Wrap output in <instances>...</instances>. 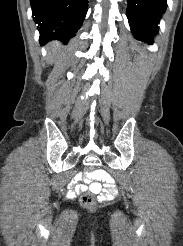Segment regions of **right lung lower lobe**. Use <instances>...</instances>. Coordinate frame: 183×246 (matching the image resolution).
Instances as JSON below:
<instances>
[{
	"instance_id": "right-lung-lower-lobe-1",
	"label": "right lung lower lobe",
	"mask_w": 183,
	"mask_h": 246,
	"mask_svg": "<svg viewBox=\"0 0 183 246\" xmlns=\"http://www.w3.org/2000/svg\"><path fill=\"white\" fill-rule=\"evenodd\" d=\"M30 3L41 45L51 40L67 44L85 19L88 0H30Z\"/></svg>"
}]
</instances>
